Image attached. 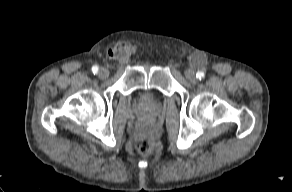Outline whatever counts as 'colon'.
Wrapping results in <instances>:
<instances>
[{
  "instance_id": "colon-1",
  "label": "colon",
  "mask_w": 292,
  "mask_h": 192,
  "mask_svg": "<svg viewBox=\"0 0 292 192\" xmlns=\"http://www.w3.org/2000/svg\"><path fill=\"white\" fill-rule=\"evenodd\" d=\"M125 50L131 51V45L123 46ZM154 130L152 126L145 122L142 123L136 130V147L140 154L149 155L154 149Z\"/></svg>"
}]
</instances>
